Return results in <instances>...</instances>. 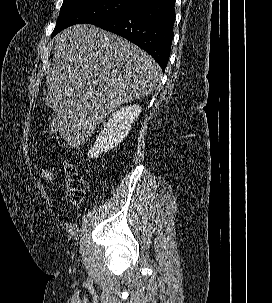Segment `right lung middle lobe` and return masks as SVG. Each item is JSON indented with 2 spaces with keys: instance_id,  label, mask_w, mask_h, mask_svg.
Here are the masks:
<instances>
[{
  "instance_id": "dd1d6c3e",
  "label": "right lung middle lobe",
  "mask_w": 272,
  "mask_h": 303,
  "mask_svg": "<svg viewBox=\"0 0 272 303\" xmlns=\"http://www.w3.org/2000/svg\"><path fill=\"white\" fill-rule=\"evenodd\" d=\"M137 6L139 5L132 0H64L51 37L74 24H93Z\"/></svg>"
}]
</instances>
